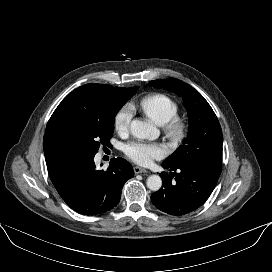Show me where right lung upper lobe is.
<instances>
[{
    "mask_svg": "<svg viewBox=\"0 0 272 272\" xmlns=\"http://www.w3.org/2000/svg\"><path fill=\"white\" fill-rule=\"evenodd\" d=\"M133 91V87L86 84L69 93L55 109L47 123L43 140L45 155L49 151L50 136L57 125L64 122H105L113 110L114 103L119 99L132 97Z\"/></svg>",
    "mask_w": 272,
    "mask_h": 272,
    "instance_id": "obj_1",
    "label": "right lung upper lobe"
}]
</instances>
